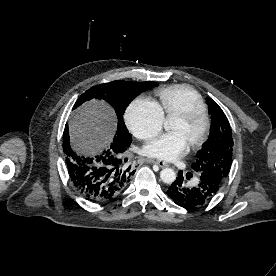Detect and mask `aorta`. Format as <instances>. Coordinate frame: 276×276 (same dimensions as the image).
I'll use <instances>...</instances> for the list:
<instances>
[{
  "label": "aorta",
  "instance_id": "1",
  "mask_svg": "<svg viewBox=\"0 0 276 276\" xmlns=\"http://www.w3.org/2000/svg\"><path fill=\"white\" fill-rule=\"evenodd\" d=\"M173 128V121L171 119H167L164 122V129L170 130ZM160 178L162 182L165 184H171L176 180V173L171 168H165L160 172Z\"/></svg>",
  "mask_w": 276,
  "mask_h": 276
}]
</instances>
